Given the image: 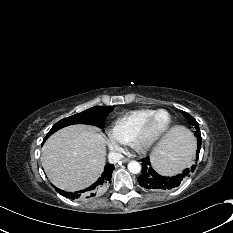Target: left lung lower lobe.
<instances>
[{
  "instance_id": "left-lung-lower-lobe-1",
  "label": "left lung lower lobe",
  "mask_w": 233,
  "mask_h": 233,
  "mask_svg": "<svg viewBox=\"0 0 233 233\" xmlns=\"http://www.w3.org/2000/svg\"><path fill=\"white\" fill-rule=\"evenodd\" d=\"M201 148V141H198V149L196 153V160H198L199 152ZM196 165H193L191 169L187 168L182 173L173 176L165 177L159 175L150 163L149 158L142 159V173L137 179L139 184L149 190L165 191L178 187L183 181L190 176L194 171Z\"/></svg>"
}]
</instances>
